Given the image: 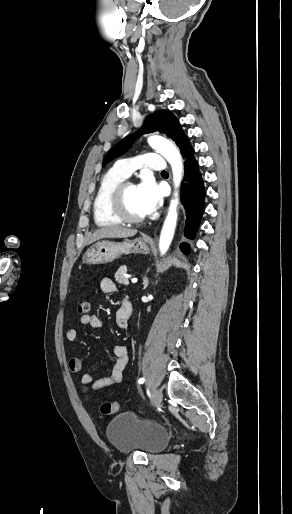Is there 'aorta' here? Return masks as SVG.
Masks as SVG:
<instances>
[{"label":"aorta","instance_id":"1","mask_svg":"<svg viewBox=\"0 0 292 514\" xmlns=\"http://www.w3.org/2000/svg\"><path fill=\"white\" fill-rule=\"evenodd\" d=\"M148 144L151 146V148H153V150H156L158 154H161V156H163V158L169 162L173 172V182L175 184V188H178L182 180L183 164L180 152H178L176 146H174L172 142H169V140H166V138H161V136H151V138H148ZM177 196L178 194H175L174 200H171L168 216L164 222V226L160 234L159 248L161 254H165V252H167L173 240L177 222Z\"/></svg>","mask_w":292,"mask_h":514}]
</instances>
